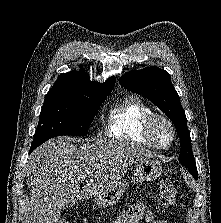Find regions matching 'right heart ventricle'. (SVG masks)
Instances as JSON below:
<instances>
[{"instance_id":"1","label":"right heart ventricle","mask_w":221,"mask_h":223,"mask_svg":"<svg viewBox=\"0 0 221 223\" xmlns=\"http://www.w3.org/2000/svg\"><path fill=\"white\" fill-rule=\"evenodd\" d=\"M153 109L140 97L131 95L109 111L105 136L120 142H135L153 147L143 135V127Z\"/></svg>"}]
</instances>
